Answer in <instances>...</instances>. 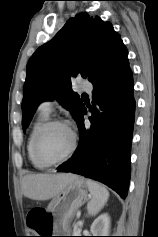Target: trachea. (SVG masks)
<instances>
[{"label": "trachea", "instance_id": "3493384b", "mask_svg": "<svg viewBox=\"0 0 158 237\" xmlns=\"http://www.w3.org/2000/svg\"><path fill=\"white\" fill-rule=\"evenodd\" d=\"M82 96H83V97H87V94L83 93Z\"/></svg>", "mask_w": 158, "mask_h": 237}]
</instances>
